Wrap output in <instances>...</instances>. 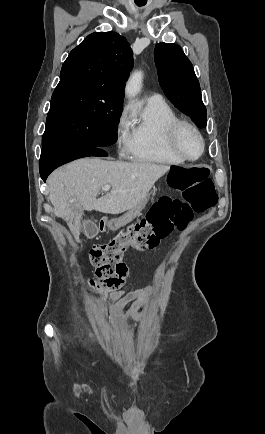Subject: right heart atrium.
<instances>
[{
    "label": "right heart atrium",
    "mask_w": 265,
    "mask_h": 434,
    "mask_svg": "<svg viewBox=\"0 0 265 434\" xmlns=\"http://www.w3.org/2000/svg\"><path fill=\"white\" fill-rule=\"evenodd\" d=\"M120 112L123 115H118L116 118V127L114 139L117 143L116 151L118 154H129L131 151L129 143V118L126 115L129 112V109L126 106H123L120 109Z\"/></svg>",
    "instance_id": "d8ad5b80"
}]
</instances>
